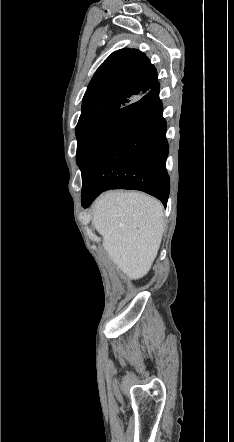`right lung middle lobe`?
Listing matches in <instances>:
<instances>
[{
	"instance_id": "1",
	"label": "right lung middle lobe",
	"mask_w": 234,
	"mask_h": 442,
	"mask_svg": "<svg viewBox=\"0 0 234 442\" xmlns=\"http://www.w3.org/2000/svg\"><path fill=\"white\" fill-rule=\"evenodd\" d=\"M117 113L118 111L102 112L79 119L76 126V137L78 140L77 165H81Z\"/></svg>"
}]
</instances>
